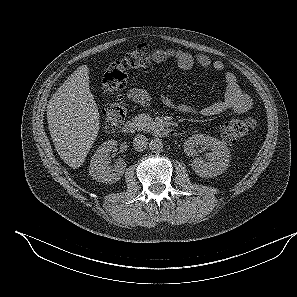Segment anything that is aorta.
Instances as JSON below:
<instances>
[{"label": "aorta", "instance_id": "1", "mask_svg": "<svg viewBox=\"0 0 297 297\" xmlns=\"http://www.w3.org/2000/svg\"><path fill=\"white\" fill-rule=\"evenodd\" d=\"M149 148L152 152H161L163 149V142L159 138H154L150 141Z\"/></svg>", "mask_w": 297, "mask_h": 297}]
</instances>
